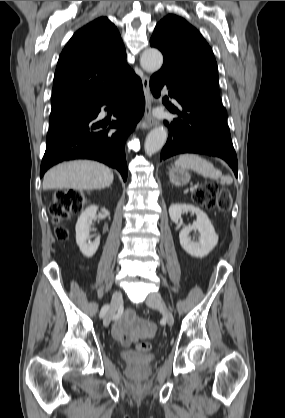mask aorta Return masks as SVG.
<instances>
[{
    "instance_id": "obj_1",
    "label": "aorta",
    "mask_w": 285,
    "mask_h": 418,
    "mask_svg": "<svg viewBox=\"0 0 285 418\" xmlns=\"http://www.w3.org/2000/svg\"><path fill=\"white\" fill-rule=\"evenodd\" d=\"M163 64V56L157 49H146L140 58L141 67L147 71L154 73L158 71ZM167 130L161 126L153 129L146 137L144 148L147 154H155L165 144L167 140Z\"/></svg>"
}]
</instances>
